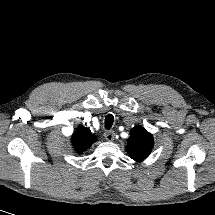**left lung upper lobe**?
I'll list each match as a JSON object with an SVG mask.
<instances>
[{
	"mask_svg": "<svg viewBox=\"0 0 215 215\" xmlns=\"http://www.w3.org/2000/svg\"><path fill=\"white\" fill-rule=\"evenodd\" d=\"M154 146L152 134L142 126H136L130 131V137L125 147L129 156L135 161H141L148 157Z\"/></svg>",
	"mask_w": 215,
	"mask_h": 215,
	"instance_id": "5c2ea615",
	"label": "left lung upper lobe"
}]
</instances>
